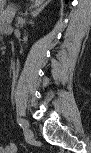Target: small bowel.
Returning <instances> with one entry per match:
<instances>
[{"instance_id": "1", "label": "small bowel", "mask_w": 91, "mask_h": 153, "mask_svg": "<svg viewBox=\"0 0 91 153\" xmlns=\"http://www.w3.org/2000/svg\"><path fill=\"white\" fill-rule=\"evenodd\" d=\"M16 151H17V148L14 143H9V144L1 147L2 153H16Z\"/></svg>"}]
</instances>
